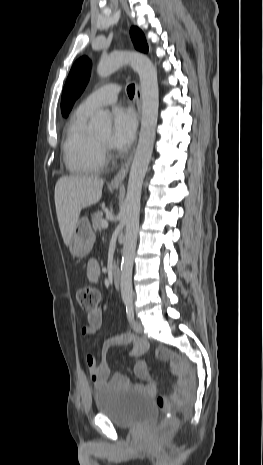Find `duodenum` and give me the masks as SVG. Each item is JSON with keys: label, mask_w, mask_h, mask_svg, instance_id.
Returning a JSON list of instances; mask_svg holds the SVG:
<instances>
[{"label": "duodenum", "mask_w": 263, "mask_h": 465, "mask_svg": "<svg viewBox=\"0 0 263 465\" xmlns=\"http://www.w3.org/2000/svg\"><path fill=\"white\" fill-rule=\"evenodd\" d=\"M112 276H113V284L116 288H119L120 287V283H121V274H120V271L118 269H114L113 270V273H112Z\"/></svg>", "instance_id": "1"}]
</instances>
